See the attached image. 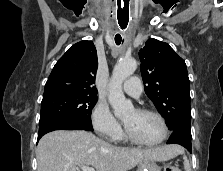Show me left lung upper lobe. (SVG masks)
Listing matches in <instances>:
<instances>
[{"label":"left lung upper lobe","instance_id":"obj_1","mask_svg":"<svg viewBox=\"0 0 223 171\" xmlns=\"http://www.w3.org/2000/svg\"><path fill=\"white\" fill-rule=\"evenodd\" d=\"M144 90L168 128L191 133L190 84L185 61L165 42L150 38L140 49Z\"/></svg>","mask_w":223,"mask_h":171}]
</instances>
